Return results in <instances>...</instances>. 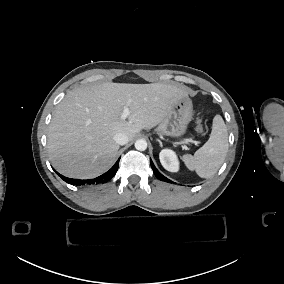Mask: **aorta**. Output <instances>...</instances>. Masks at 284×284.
I'll list each match as a JSON object with an SVG mask.
<instances>
[{"label": "aorta", "mask_w": 284, "mask_h": 284, "mask_svg": "<svg viewBox=\"0 0 284 284\" xmlns=\"http://www.w3.org/2000/svg\"><path fill=\"white\" fill-rule=\"evenodd\" d=\"M135 148L139 151H144L147 149V142L144 139H138L135 142Z\"/></svg>", "instance_id": "762f6f07"}]
</instances>
